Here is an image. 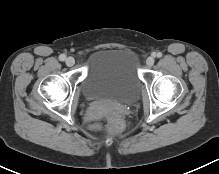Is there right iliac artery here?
<instances>
[{
	"label": "right iliac artery",
	"mask_w": 219,
	"mask_h": 174,
	"mask_svg": "<svg viewBox=\"0 0 219 174\" xmlns=\"http://www.w3.org/2000/svg\"><path fill=\"white\" fill-rule=\"evenodd\" d=\"M59 59H60L61 61H64V60L66 59V56H65L64 54H61V55L59 56Z\"/></svg>",
	"instance_id": "82829eb1"
}]
</instances>
